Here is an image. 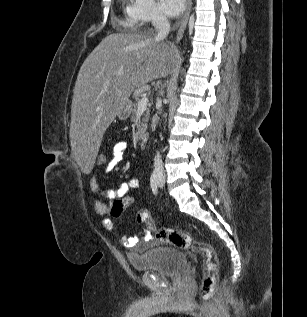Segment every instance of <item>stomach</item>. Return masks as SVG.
Listing matches in <instances>:
<instances>
[{
	"label": "stomach",
	"mask_w": 307,
	"mask_h": 317,
	"mask_svg": "<svg viewBox=\"0 0 307 317\" xmlns=\"http://www.w3.org/2000/svg\"><path fill=\"white\" fill-rule=\"evenodd\" d=\"M131 109H132V103L131 101L128 99L127 101H124L118 111H117V116L120 120H125L129 117L130 115V112H131Z\"/></svg>",
	"instance_id": "stomach-1"
}]
</instances>
